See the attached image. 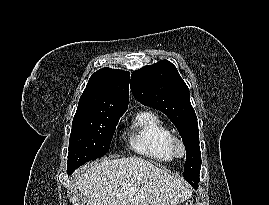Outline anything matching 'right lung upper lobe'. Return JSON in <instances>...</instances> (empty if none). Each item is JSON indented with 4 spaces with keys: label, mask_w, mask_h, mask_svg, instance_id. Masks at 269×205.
Here are the masks:
<instances>
[{
    "label": "right lung upper lobe",
    "mask_w": 269,
    "mask_h": 205,
    "mask_svg": "<svg viewBox=\"0 0 269 205\" xmlns=\"http://www.w3.org/2000/svg\"><path fill=\"white\" fill-rule=\"evenodd\" d=\"M130 74L102 68L89 79L82 93L77 114L123 115L129 103Z\"/></svg>",
    "instance_id": "right-lung-upper-lobe-1"
}]
</instances>
